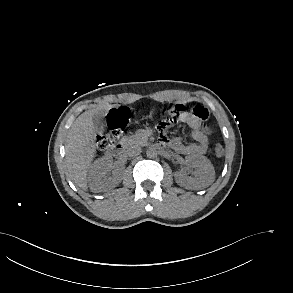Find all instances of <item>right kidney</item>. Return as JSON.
Returning <instances> with one entry per match:
<instances>
[{"mask_svg": "<svg viewBox=\"0 0 293 293\" xmlns=\"http://www.w3.org/2000/svg\"><path fill=\"white\" fill-rule=\"evenodd\" d=\"M112 168V160L107 157H101L91 165L88 175V182L91 190L97 191L104 185L116 186L122 179L123 167L119 166L112 176L108 172Z\"/></svg>", "mask_w": 293, "mask_h": 293, "instance_id": "obj_1", "label": "right kidney"}]
</instances>
